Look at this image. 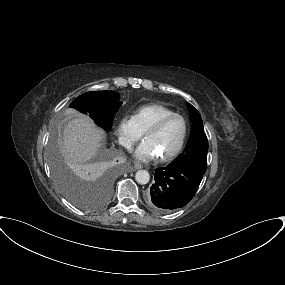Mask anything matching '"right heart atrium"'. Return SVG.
I'll return each mask as SVG.
<instances>
[{"label":"right heart atrium","instance_id":"1","mask_svg":"<svg viewBox=\"0 0 285 285\" xmlns=\"http://www.w3.org/2000/svg\"><path fill=\"white\" fill-rule=\"evenodd\" d=\"M119 142L126 149H131L134 143L142 136L133 116H123L116 127Z\"/></svg>","mask_w":285,"mask_h":285}]
</instances>
